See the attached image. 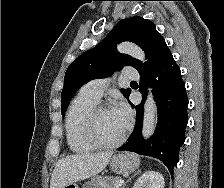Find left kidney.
Returning a JSON list of instances; mask_svg holds the SVG:
<instances>
[{"label":"left kidney","mask_w":224,"mask_h":188,"mask_svg":"<svg viewBox=\"0 0 224 188\" xmlns=\"http://www.w3.org/2000/svg\"><path fill=\"white\" fill-rule=\"evenodd\" d=\"M164 177L158 171H146L134 183L133 188H164Z\"/></svg>","instance_id":"obj_1"}]
</instances>
